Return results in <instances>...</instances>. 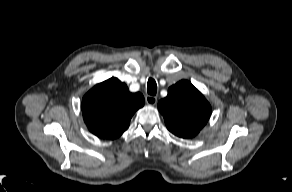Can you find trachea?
Masks as SVG:
<instances>
[{"label":"trachea","mask_w":292,"mask_h":192,"mask_svg":"<svg viewBox=\"0 0 292 192\" xmlns=\"http://www.w3.org/2000/svg\"><path fill=\"white\" fill-rule=\"evenodd\" d=\"M147 92L149 95H156L157 92V84L154 79H149L147 83Z\"/></svg>","instance_id":"obj_1"}]
</instances>
